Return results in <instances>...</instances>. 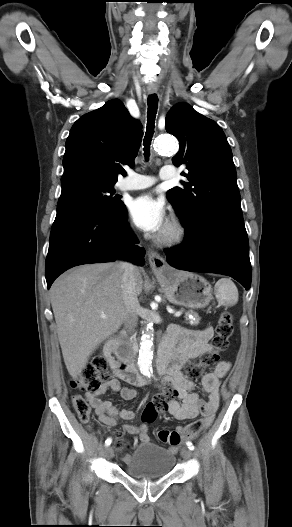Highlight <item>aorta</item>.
<instances>
[{
    "mask_svg": "<svg viewBox=\"0 0 292 527\" xmlns=\"http://www.w3.org/2000/svg\"><path fill=\"white\" fill-rule=\"evenodd\" d=\"M154 147L159 153H175L177 151V142L174 137L164 135L155 139ZM154 355V342L152 335V323L147 325L140 342L138 356V366L141 373L150 377L152 373V360Z\"/></svg>",
    "mask_w": 292,
    "mask_h": 527,
    "instance_id": "1",
    "label": "aorta"
}]
</instances>
